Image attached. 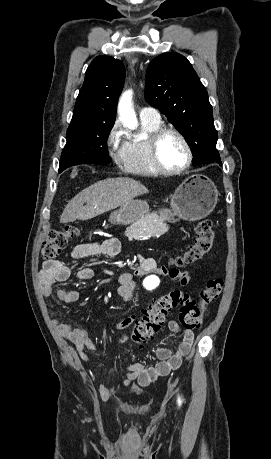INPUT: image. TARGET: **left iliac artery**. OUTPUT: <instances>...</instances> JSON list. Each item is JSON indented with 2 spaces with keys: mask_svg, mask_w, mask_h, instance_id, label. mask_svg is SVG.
I'll return each mask as SVG.
<instances>
[{
  "mask_svg": "<svg viewBox=\"0 0 271 459\" xmlns=\"http://www.w3.org/2000/svg\"><path fill=\"white\" fill-rule=\"evenodd\" d=\"M178 403H179V405L181 404V400H180V398H178Z\"/></svg>",
  "mask_w": 271,
  "mask_h": 459,
  "instance_id": "obj_1",
  "label": "left iliac artery"
}]
</instances>
